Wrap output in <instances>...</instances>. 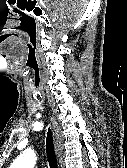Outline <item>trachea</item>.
Returning <instances> with one entry per match:
<instances>
[{
	"instance_id": "obj_1",
	"label": "trachea",
	"mask_w": 127,
	"mask_h": 168,
	"mask_svg": "<svg viewBox=\"0 0 127 168\" xmlns=\"http://www.w3.org/2000/svg\"><path fill=\"white\" fill-rule=\"evenodd\" d=\"M46 153L50 168H57V158L55 154L54 142L51 129H48L46 138Z\"/></svg>"
}]
</instances>
